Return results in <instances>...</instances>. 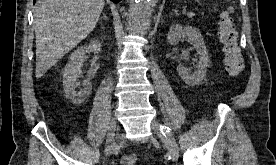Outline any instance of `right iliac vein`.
I'll use <instances>...</instances> for the list:
<instances>
[{"instance_id":"obj_1","label":"right iliac vein","mask_w":276,"mask_h":165,"mask_svg":"<svg viewBox=\"0 0 276 165\" xmlns=\"http://www.w3.org/2000/svg\"><path fill=\"white\" fill-rule=\"evenodd\" d=\"M118 130L116 121L114 119L111 120L110 126H109V132L107 135V141H106V155L110 154L111 151L115 150L117 148V145L115 143V131Z\"/></svg>"}]
</instances>
